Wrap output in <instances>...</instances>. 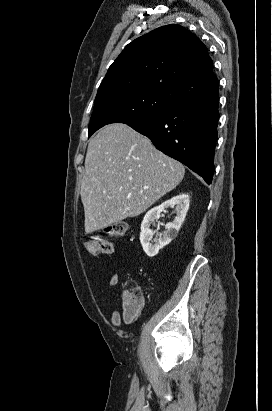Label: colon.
Wrapping results in <instances>:
<instances>
[{
    "instance_id": "5ec220e1",
    "label": "colon",
    "mask_w": 272,
    "mask_h": 411,
    "mask_svg": "<svg viewBox=\"0 0 272 411\" xmlns=\"http://www.w3.org/2000/svg\"><path fill=\"white\" fill-rule=\"evenodd\" d=\"M126 229L127 224L124 221L108 224L85 241V249L93 255L110 254L113 252L112 239L122 236ZM122 299V315L124 320L127 322L136 320L143 305V295L140 286L131 282L125 283Z\"/></svg>"
}]
</instances>
